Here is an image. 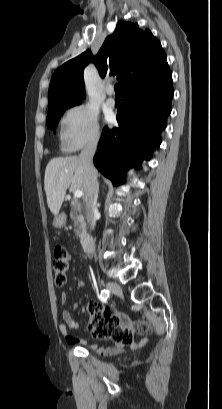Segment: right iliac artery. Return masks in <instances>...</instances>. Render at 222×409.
Masks as SVG:
<instances>
[{
  "label": "right iliac artery",
  "mask_w": 222,
  "mask_h": 409,
  "mask_svg": "<svg viewBox=\"0 0 222 409\" xmlns=\"http://www.w3.org/2000/svg\"><path fill=\"white\" fill-rule=\"evenodd\" d=\"M109 295H110L109 291L104 289L100 293V298L101 300H107L109 298Z\"/></svg>",
  "instance_id": "1"
}]
</instances>
